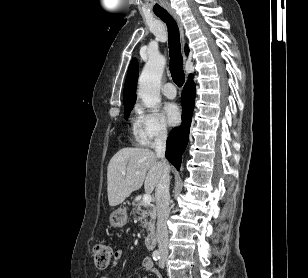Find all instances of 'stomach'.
Wrapping results in <instances>:
<instances>
[{"mask_svg":"<svg viewBox=\"0 0 308 278\" xmlns=\"http://www.w3.org/2000/svg\"><path fill=\"white\" fill-rule=\"evenodd\" d=\"M126 209L119 208L110 215V225L112 227H123L127 223Z\"/></svg>","mask_w":308,"mask_h":278,"instance_id":"1","label":"stomach"}]
</instances>
